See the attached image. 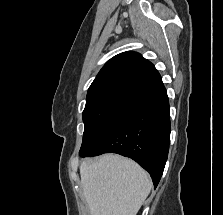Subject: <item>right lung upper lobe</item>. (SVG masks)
I'll return each instance as SVG.
<instances>
[{
    "mask_svg": "<svg viewBox=\"0 0 223 215\" xmlns=\"http://www.w3.org/2000/svg\"><path fill=\"white\" fill-rule=\"evenodd\" d=\"M154 65L136 52H124L109 60L88 89L87 100L111 91H129L147 96L161 88Z\"/></svg>",
    "mask_w": 223,
    "mask_h": 215,
    "instance_id": "cb5924a9",
    "label": "right lung upper lobe"
}]
</instances>
